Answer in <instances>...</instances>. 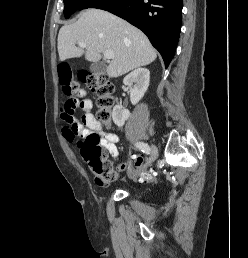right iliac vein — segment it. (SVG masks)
I'll return each mask as SVG.
<instances>
[{"mask_svg": "<svg viewBox=\"0 0 248 258\" xmlns=\"http://www.w3.org/2000/svg\"><path fill=\"white\" fill-rule=\"evenodd\" d=\"M158 157V149L155 145L151 146V155L147 161L146 166H150Z\"/></svg>", "mask_w": 248, "mask_h": 258, "instance_id": "1", "label": "right iliac vein"}]
</instances>
